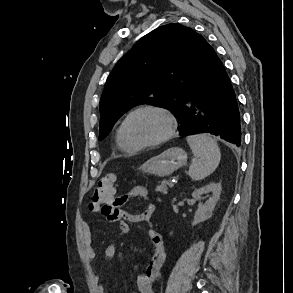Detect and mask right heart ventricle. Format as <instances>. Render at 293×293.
Segmentation results:
<instances>
[{
	"label": "right heart ventricle",
	"instance_id": "1",
	"mask_svg": "<svg viewBox=\"0 0 293 293\" xmlns=\"http://www.w3.org/2000/svg\"><path fill=\"white\" fill-rule=\"evenodd\" d=\"M115 141H116V144L118 146V148L123 151V152H134L135 150H132L130 148H128L122 138H121V132H120V125L117 127L116 129V132H115Z\"/></svg>",
	"mask_w": 293,
	"mask_h": 293
}]
</instances>
